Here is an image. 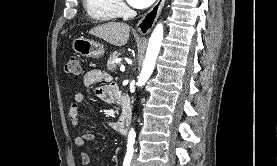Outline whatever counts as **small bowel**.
<instances>
[{
  "mask_svg": "<svg viewBox=\"0 0 277 166\" xmlns=\"http://www.w3.org/2000/svg\"><path fill=\"white\" fill-rule=\"evenodd\" d=\"M109 76L101 70L93 69L88 71L83 79V83L87 88H92L102 81H109ZM98 97L106 103H114L117 100L118 88L114 83H108L96 90ZM84 99L82 92H77L73 98L68 112L70 123L73 127L79 125V112L81 103ZM115 129L116 126L112 125ZM96 138V134L93 132H87L77 136L74 139V146L79 151L80 161L82 165H89L91 158L85 150L86 143L93 141Z\"/></svg>",
  "mask_w": 277,
  "mask_h": 166,
  "instance_id": "c3829d8e",
  "label": "small bowel"
}]
</instances>
